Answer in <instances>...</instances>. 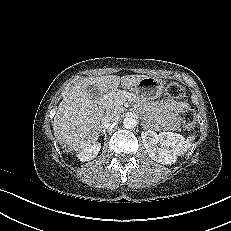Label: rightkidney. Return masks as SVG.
Masks as SVG:
<instances>
[{"label": "right kidney", "instance_id": "right-kidney-1", "mask_svg": "<svg viewBox=\"0 0 231 231\" xmlns=\"http://www.w3.org/2000/svg\"><path fill=\"white\" fill-rule=\"evenodd\" d=\"M100 149H101L100 143L95 142L79 150L77 154V158L82 162L92 160L98 155Z\"/></svg>", "mask_w": 231, "mask_h": 231}]
</instances>
